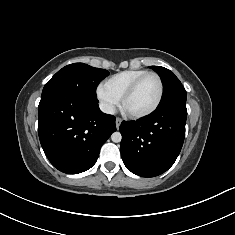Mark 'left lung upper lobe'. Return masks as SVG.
I'll list each match as a JSON object with an SVG mask.
<instances>
[{
	"mask_svg": "<svg viewBox=\"0 0 235 235\" xmlns=\"http://www.w3.org/2000/svg\"><path fill=\"white\" fill-rule=\"evenodd\" d=\"M151 68L159 74L163 83V96L158 107L174 102L186 103V91L174 73L161 66H151Z\"/></svg>",
	"mask_w": 235,
	"mask_h": 235,
	"instance_id": "5c2ea615",
	"label": "left lung upper lobe"
}]
</instances>
